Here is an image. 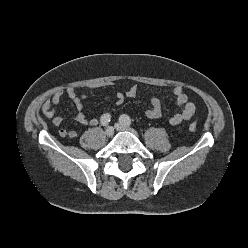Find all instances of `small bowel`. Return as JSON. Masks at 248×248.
<instances>
[{"label": "small bowel", "instance_id": "1", "mask_svg": "<svg viewBox=\"0 0 248 248\" xmlns=\"http://www.w3.org/2000/svg\"><path fill=\"white\" fill-rule=\"evenodd\" d=\"M104 85H93L88 87L82 93H78L73 87H68L67 89L57 90L50 98L45 100L42 106V113L51 123L58 127L63 122V117L57 114V106L60 104L63 96L66 94L74 103L76 108L75 120L82 125L96 126L98 120L96 118H88L84 112V100L90 95V93ZM177 105L181 107V111L173 114L168 118V121L171 125H178L183 121L190 120L193 118L196 107L193 102L189 100V96L186 91L181 86H176L172 90ZM138 93L137 86L130 87L127 92L121 93L117 92L115 95V103L121 105L125 98H134ZM150 107L145 110L146 117L150 119H158L162 117V106L161 101L157 97H153L150 102ZM59 135L61 137L76 138L78 133L75 130H68L66 128H61L59 130Z\"/></svg>", "mask_w": 248, "mask_h": 248}]
</instances>
